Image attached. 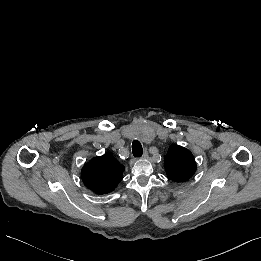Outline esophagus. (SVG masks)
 I'll use <instances>...</instances> for the list:
<instances>
[{"instance_id": "esophagus-1", "label": "esophagus", "mask_w": 261, "mask_h": 261, "mask_svg": "<svg viewBox=\"0 0 261 261\" xmlns=\"http://www.w3.org/2000/svg\"><path fill=\"white\" fill-rule=\"evenodd\" d=\"M148 158V152L145 150L143 153V159H147Z\"/></svg>"}]
</instances>
